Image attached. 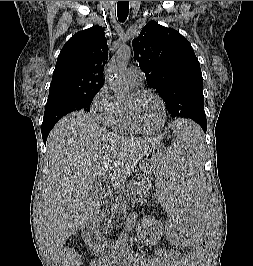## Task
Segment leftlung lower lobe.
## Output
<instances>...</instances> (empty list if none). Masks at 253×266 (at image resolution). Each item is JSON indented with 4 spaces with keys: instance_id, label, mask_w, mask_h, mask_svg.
<instances>
[{
    "instance_id": "left-lung-lower-lobe-1",
    "label": "left lung lower lobe",
    "mask_w": 253,
    "mask_h": 266,
    "mask_svg": "<svg viewBox=\"0 0 253 266\" xmlns=\"http://www.w3.org/2000/svg\"><path fill=\"white\" fill-rule=\"evenodd\" d=\"M202 127V129L204 130V132H206L207 130V127L203 126V125H200Z\"/></svg>"
}]
</instances>
